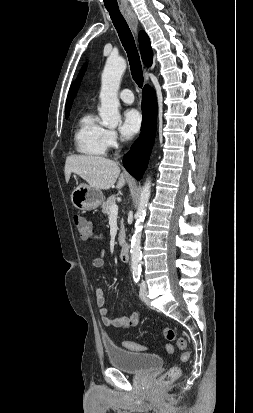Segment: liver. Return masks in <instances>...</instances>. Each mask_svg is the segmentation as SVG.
Returning <instances> with one entry per match:
<instances>
[{"mask_svg":"<svg viewBox=\"0 0 253 413\" xmlns=\"http://www.w3.org/2000/svg\"><path fill=\"white\" fill-rule=\"evenodd\" d=\"M65 180L69 181L71 173L83 178L92 188L107 190L114 186L122 188L126 183L125 175L120 174L117 162L101 156L72 155L66 158Z\"/></svg>","mask_w":253,"mask_h":413,"instance_id":"liver-1","label":"liver"}]
</instances>
